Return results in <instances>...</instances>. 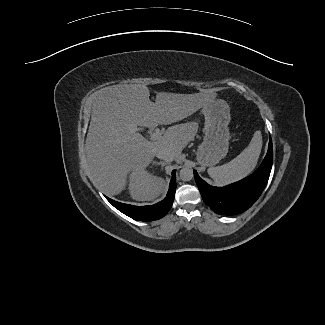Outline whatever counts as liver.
<instances>
[{"label":"liver","instance_id":"6515ba94","mask_svg":"<svg viewBox=\"0 0 325 325\" xmlns=\"http://www.w3.org/2000/svg\"><path fill=\"white\" fill-rule=\"evenodd\" d=\"M148 87L114 85L96 91L86 138L88 170L93 181L108 195L125 189L130 172L142 173L160 149L174 153L177 163L182 150L197 133L195 122L169 127L158 140L137 133V126L157 127L181 121L212 102L214 92L175 94L157 92L155 103Z\"/></svg>","mask_w":325,"mask_h":325}]
</instances>
